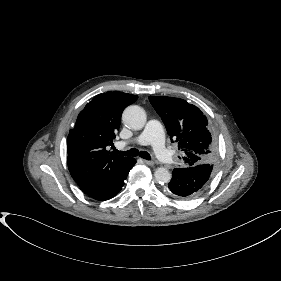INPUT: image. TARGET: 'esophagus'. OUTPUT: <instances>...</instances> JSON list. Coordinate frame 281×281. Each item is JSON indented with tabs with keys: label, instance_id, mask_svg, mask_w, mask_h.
<instances>
[{
	"label": "esophagus",
	"instance_id": "1",
	"mask_svg": "<svg viewBox=\"0 0 281 281\" xmlns=\"http://www.w3.org/2000/svg\"><path fill=\"white\" fill-rule=\"evenodd\" d=\"M143 162H144L146 165H149V166H152V165L155 164L153 161H150V160H143Z\"/></svg>",
	"mask_w": 281,
	"mask_h": 281
}]
</instances>
